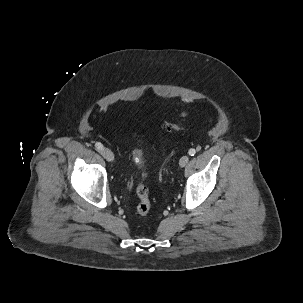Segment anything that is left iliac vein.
<instances>
[{
    "instance_id": "4c4485c4",
    "label": "left iliac vein",
    "mask_w": 303,
    "mask_h": 303,
    "mask_svg": "<svg viewBox=\"0 0 303 303\" xmlns=\"http://www.w3.org/2000/svg\"><path fill=\"white\" fill-rule=\"evenodd\" d=\"M188 161H189V156H187V155L182 156L180 158V160H179L180 167L186 166V164L188 163Z\"/></svg>"
}]
</instances>
